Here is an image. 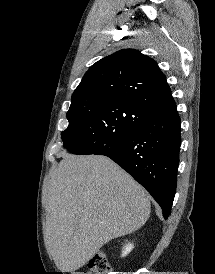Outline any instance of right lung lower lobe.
Segmentation results:
<instances>
[{"instance_id":"1","label":"right lung lower lobe","mask_w":215,"mask_h":274,"mask_svg":"<svg viewBox=\"0 0 215 274\" xmlns=\"http://www.w3.org/2000/svg\"><path fill=\"white\" fill-rule=\"evenodd\" d=\"M177 108L153 113L121 142L95 153L111 158L157 201L164 218L170 215L176 192L181 144Z\"/></svg>"}]
</instances>
